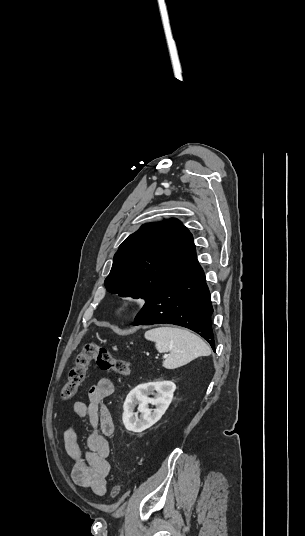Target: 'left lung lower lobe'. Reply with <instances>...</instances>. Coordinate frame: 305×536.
Masks as SVG:
<instances>
[{"mask_svg": "<svg viewBox=\"0 0 305 536\" xmlns=\"http://www.w3.org/2000/svg\"><path fill=\"white\" fill-rule=\"evenodd\" d=\"M212 313L205 275L196 259L144 304L132 325H180L197 332L215 351Z\"/></svg>", "mask_w": 305, "mask_h": 536, "instance_id": "obj_1", "label": "left lung lower lobe"}]
</instances>
